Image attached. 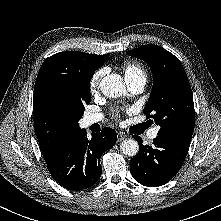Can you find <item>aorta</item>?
I'll list each match as a JSON object with an SVG mask.
<instances>
[{"mask_svg": "<svg viewBox=\"0 0 221 221\" xmlns=\"http://www.w3.org/2000/svg\"><path fill=\"white\" fill-rule=\"evenodd\" d=\"M100 90L106 97L116 98L125 93V83L118 74H109L105 76L100 84ZM121 151L127 156H135L138 153L139 145L134 139H126L120 145Z\"/></svg>", "mask_w": 221, "mask_h": 221, "instance_id": "762f6f07", "label": "aorta"}]
</instances>
